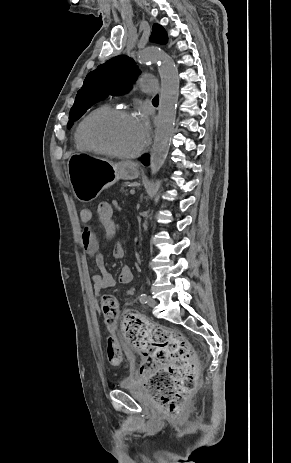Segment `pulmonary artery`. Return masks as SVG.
I'll use <instances>...</instances> for the list:
<instances>
[{"mask_svg": "<svg viewBox=\"0 0 291 463\" xmlns=\"http://www.w3.org/2000/svg\"><path fill=\"white\" fill-rule=\"evenodd\" d=\"M138 87L148 95H157L159 91L156 79L149 75H143L139 78Z\"/></svg>", "mask_w": 291, "mask_h": 463, "instance_id": "e3ab8cb5", "label": "pulmonary artery"}]
</instances>
